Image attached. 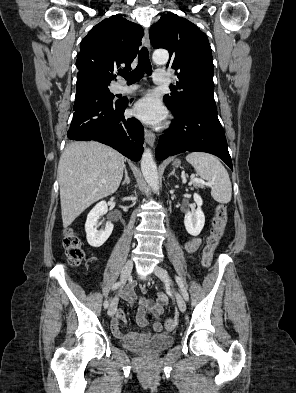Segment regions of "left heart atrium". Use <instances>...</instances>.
I'll use <instances>...</instances> for the list:
<instances>
[{"mask_svg":"<svg viewBox=\"0 0 296 393\" xmlns=\"http://www.w3.org/2000/svg\"><path fill=\"white\" fill-rule=\"evenodd\" d=\"M132 114L147 124L157 125L165 118L166 111L160 100L150 93L134 104Z\"/></svg>","mask_w":296,"mask_h":393,"instance_id":"39dd6f15","label":"left heart atrium"}]
</instances>
